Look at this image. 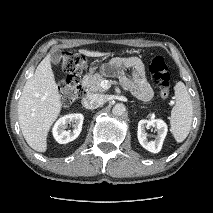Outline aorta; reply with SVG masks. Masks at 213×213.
Returning <instances> with one entry per match:
<instances>
[{"label":"aorta","instance_id":"1","mask_svg":"<svg viewBox=\"0 0 213 213\" xmlns=\"http://www.w3.org/2000/svg\"><path fill=\"white\" fill-rule=\"evenodd\" d=\"M125 111H126V107L122 103L115 104L112 109V113L117 116L123 115Z\"/></svg>","mask_w":213,"mask_h":213}]
</instances>
